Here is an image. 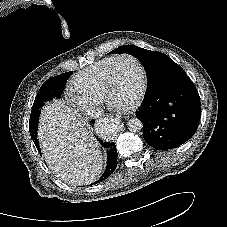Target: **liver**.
I'll return each mask as SVG.
<instances>
[{
  "label": "liver",
  "instance_id": "obj_1",
  "mask_svg": "<svg viewBox=\"0 0 227 227\" xmlns=\"http://www.w3.org/2000/svg\"><path fill=\"white\" fill-rule=\"evenodd\" d=\"M38 138L53 173L72 185L90 184L102 171L103 156L87 120L61 100L41 112Z\"/></svg>",
  "mask_w": 227,
  "mask_h": 227
}]
</instances>
